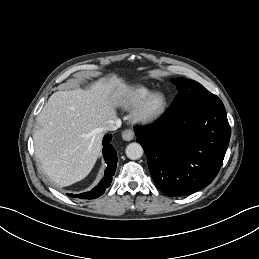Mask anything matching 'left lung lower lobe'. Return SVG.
Listing matches in <instances>:
<instances>
[{"instance_id": "1", "label": "left lung lower lobe", "mask_w": 259, "mask_h": 259, "mask_svg": "<svg viewBox=\"0 0 259 259\" xmlns=\"http://www.w3.org/2000/svg\"><path fill=\"white\" fill-rule=\"evenodd\" d=\"M220 99L168 112L149 128H135L151 176L168 196L192 194L216 177L230 140Z\"/></svg>"}]
</instances>
